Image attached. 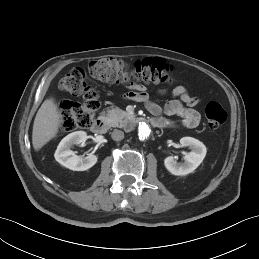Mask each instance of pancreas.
Masks as SVG:
<instances>
[{
    "label": "pancreas",
    "mask_w": 259,
    "mask_h": 259,
    "mask_svg": "<svg viewBox=\"0 0 259 259\" xmlns=\"http://www.w3.org/2000/svg\"><path fill=\"white\" fill-rule=\"evenodd\" d=\"M106 115H107L106 122L111 127H119V128L127 127L129 121L133 118L132 115L128 114L127 112L117 107L107 110Z\"/></svg>",
    "instance_id": "pancreas-1"
}]
</instances>
